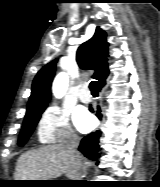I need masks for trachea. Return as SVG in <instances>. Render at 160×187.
Masks as SVG:
<instances>
[{
    "instance_id": "trachea-1",
    "label": "trachea",
    "mask_w": 160,
    "mask_h": 187,
    "mask_svg": "<svg viewBox=\"0 0 160 187\" xmlns=\"http://www.w3.org/2000/svg\"><path fill=\"white\" fill-rule=\"evenodd\" d=\"M97 83L96 81H91L90 85H89V88H90V91L92 93H97V87H96Z\"/></svg>"
}]
</instances>
